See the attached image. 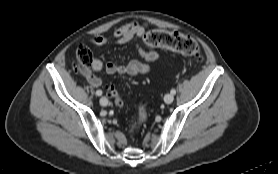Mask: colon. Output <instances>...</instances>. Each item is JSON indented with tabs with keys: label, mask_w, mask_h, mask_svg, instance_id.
Returning a JSON list of instances; mask_svg holds the SVG:
<instances>
[{
	"label": "colon",
	"mask_w": 278,
	"mask_h": 174,
	"mask_svg": "<svg viewBox=\"0 0 278 174\" xmlns=\"http://www.w3.org/2000/svg\"><path fill=\"white\" fill-rule=\"evenodd\" d=\"M143 40L148 46L166 48L188 56L196 62L201 61L200 46L195 39L188 35L174 31L153 29L145 33ZM75 59L78 68H88L92 63V53L88 47L80 44L75 50ZM108 93L117 105H123V102L114 87H108ZM147 117L146 104L145 102H142L138 107L137 117L129 125V133L131 135L136 134L139 127L146 122Z\"/></svg>",
	"instance_id": "obj_1"
}]
</instances>
